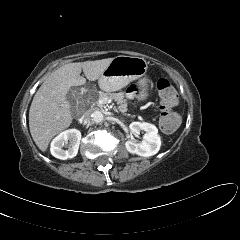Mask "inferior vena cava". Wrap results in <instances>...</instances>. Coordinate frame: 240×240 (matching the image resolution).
Returning a JSON list of instances; mask_svg holds the SVG:
<instances>
[{
	"label": "inferior vena cava",
	"mask_w": 240,
	"mask_h": 240,
	"mask_svg": "<svg viewBox=\"0 0 240 240\" xmlns=\"http://www.w3.org/2000/svg\"><path fill=\"white\" fill-rule=\"evenodd\" d=\"M90 115H91L90 111H86L82 114L81 119L83 121H89L90 120Z\"/></svg>",
	"instance_id": "602c4592"
}]
</instances>
